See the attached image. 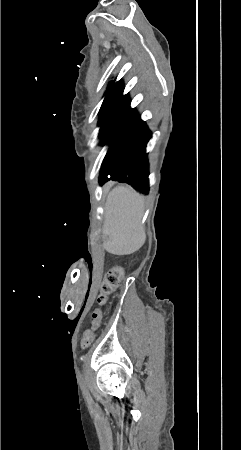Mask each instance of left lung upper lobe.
Segmentation results:
<instances>
[{"mask_svg":"<svg viewBox=\"0 0 241 450\" xmlns=\"http://www.w3.org/2000/svg\"><path fill=\"white\" fill-rule=\"evenodd\" d=\"M123 88V83L121 81L114 83L113 81L110 82L107 91H106V96L105 99L102 103L101 109L100 111L105 108L111 101L113 98H115L119 92L121 91V89Z\"/></svg>","mask_w":241,"mask_h":450,"instance_id":"5c2ea615","label":"left lung upper lobe"}]
</instances>
